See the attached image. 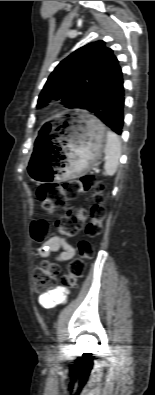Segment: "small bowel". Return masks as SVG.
I'll use <instances>...</instances> for the list:
<instances>
[{
  "label": "small bowel",
  "instance_id": "c3829d8e",
  "mask_svg": "<svg viewBox=\"0 0 155 395\" xmlns=\"http://www.w3.org/2000/svg\"><path fill=\"white\" fill-rule=\"evenodd\" d=\"M57 261L65 262L72 259L75 255V249L63 238L53 236L49 238L39 249L38 255L41 258L48 257L53 252H59ZM68 290L61 286L56 287L46 293H42L39 298V304L47 309L53 308L58 304L66 301Z\"/></svg>",
  "mask_w": 155,
  "mask_h": 395
}]
</instances>
